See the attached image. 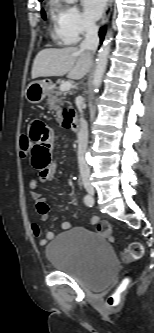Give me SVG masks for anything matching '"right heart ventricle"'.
Wrapping results in <instances>:
<instances>
[{"label": "right heart ventricle", "instance_id": "right-heart-ventricle-1", "mask_svg": "<svg viewBox=\"0 0 154 333\" xmlns=\"http://www.w3.org/2000/svg\"><path fill=\"white\" fill-rule=\"evenodd\" d=\"M52 28H53V36L56 40L63 42L61 38V31L59 25V17H60V6L58 4H53L50 10ZM64 43V42H63Z\"/></svg>", "mask_w": 154, "mask_h": 333}]
</instances>
